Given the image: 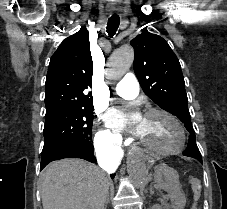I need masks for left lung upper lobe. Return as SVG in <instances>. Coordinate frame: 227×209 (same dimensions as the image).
<instances>
[{"label":"left lung upper lobe","mask_w":227,"mask_h":209,"mask_svg":"<svg viewBox=\"0 0 227 209\" xmlns=\"http://www.w3.org/2000/svg\"><path fill=\"white\" fill-rule=\"evenodd\" d=\"M135 50L134 71L144 93L165 111L177 116L189 131V143L183 155L202 157L188 110L184 77L178 58L160 36L147 30L131 40Z\"/></svg>","instance_id":"5c2ea615"}]
</instances>
